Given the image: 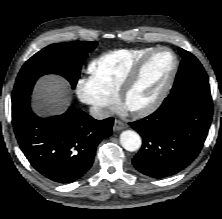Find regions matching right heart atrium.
<instances>
[{"instance_id": "right-heart-atrium-1", "label": "right heart atrium", "mask_w": 222, "mask_h": 219, "mask_svg": "<svg viewBox=\"0 0 222 219\" xmlns=\"http://www.w3.org/2000/svg\"><path fill=\"white\" fill-rule=\"evenodd\" d=\"M78 99L90 105L97 114L105 117L113 111L115 101L97 91L90 79H79L75 85Z\"/></svg>"}]
</instances>
